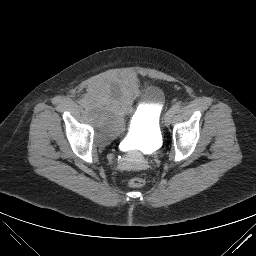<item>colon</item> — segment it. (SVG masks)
<instances>
[{
  "instance_id": "5ec220e1",
  "label": "colon",
  "mask_w": 256,
  "mask_h": 256,
  "mask_svg": "<svg viewBox=\"0 0 256 256\" xmlns=\"http://www.w3.org/2000/svg\"><path fill=\"white\" fill-rule=\"evenodd\" d=\"M146 184V180L142 177H134L129 180L128 185L131 188H141Z\"/></svg>"
}]
</instances>
